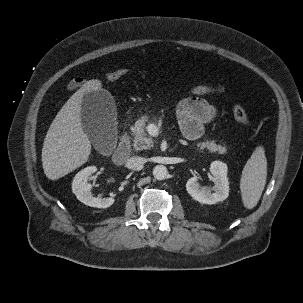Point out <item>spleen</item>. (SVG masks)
Masks as SVG:
<instances>
[{"label":"spleen","mask_w":303,"mask_h":303,"mask_svg":"<svg viewBox=\"0 0 303 303\" xmlns=\"http://www.w3.org/2000/svg\"><path fill=\"white\" fill-rule=\"evenodd\" d=\"M267 177L264 148L258 146L245 164L240 181L242 201L247 209L255 207L262 195Z\"/></svg>","instance_id":"3e777b00"}]
</instances>
